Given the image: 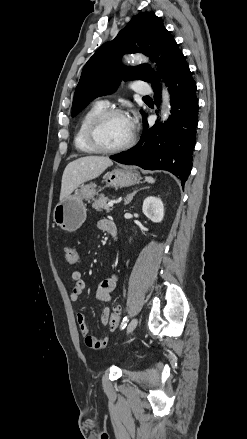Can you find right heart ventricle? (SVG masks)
Masks as SVG:
<instances>
[{
    "label": "right heart ventricle",
    "mask_w": 247,
    "mask_h": 439,
    "mask_svg": "<svg viewBox=\"0 0 247 439\" xmlns=\"http://www.w3.org/2000/svg\"><path fill=\"white\" fill-rule=\"evenodd\" d=\"M105 109L106 105L104 103L96 102L82 115L74 134V145L79 152L86 154L97 152L89 145L86 138V131L92 118Z\"/></svg>",
    "instance_id": "right-heart-ventricle-1"
}]
</instances>
